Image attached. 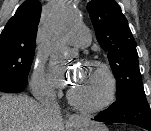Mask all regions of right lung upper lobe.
<instances>
[{
  "mask_svg": "<svg viewBox=\"0 0 151 131\" xmlns=\"http://www.w3.org/2000/svg\"><path fill=\"white\" fill-rule=\"evenodd\" d=\"M40 16L41 4L38 0H27L22 3L3 29L0 44L17 42L35 47Z\"/></svg>",
  "mask_w": 151,
  "mask_h": 131,
  "instance_id": "obj_1",
  "label": "right lung upper lobe"
}]
</instances>
